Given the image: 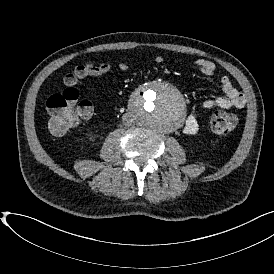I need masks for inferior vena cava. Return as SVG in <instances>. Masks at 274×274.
I'll list each match as a JSON object with an SVG mask.
<instances>
[{"label":"inferior vena cava","mask_w":274,"mask_h":274,"mask_svg":"<svg viewBox=\"0 0 274 274\" xmlns=\"http://www.w3.org/2000/svg\"><path fill=\"white\" fill-rule=\"evenodd\" d=\"M123 123H124L125 125H127V120H126V117H124V116H123Z\"/></svg>","instance_id":"1"}]
</instances>
